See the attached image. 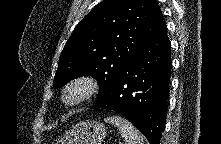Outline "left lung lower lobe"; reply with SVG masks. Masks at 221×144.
Listing matches in <instances>:
<instances>
[{
    "instance_id": "0a47b994",
    "label": "left lung lower lobe",
    "mask_w": 221,
    "mask_h": 144,
    "mask_svg": "<svg viewBox=\"0 0 221 144\" xmlns=\"http://www.w3.org/2000/svg\"><path fill=\"white\" fill-rule=\"evenodd\" d=\"M171 44L162 22L149 42L120 70L92 109L124 115L150 144H159L165 128Z\"/></svg>"
}]
</instances>
